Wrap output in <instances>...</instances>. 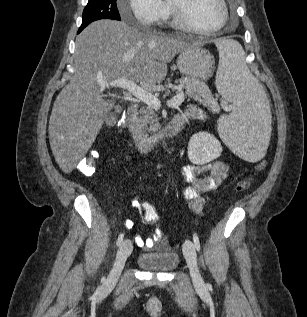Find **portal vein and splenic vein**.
<instances>
[{
  "instance_id": "1",
  "label": "portal vein and splenic vein",
  "mask_w": 307,
  "mask_h": 317,
  "mask_svg": "<svg viewBox=\"0 0 307 317\" xmlns=\"http://www.w3.org/2000/svg\"><path fill=\"white\" fill-rule=\"evenodd\" d=\"M98 84L101 89H105L107 87H119L126 89L130 94L134 95L137 99L147 104L149 107L154 109H159L161 107L160 100L150 93L147 89L138 86L134 81L127 79H118L111 82L98 81ZM185 99V94L183 92H179L172 99L167 101V106L174 108L178 107L183 103Z\"/></svg>"
}]
</instances>
